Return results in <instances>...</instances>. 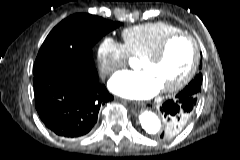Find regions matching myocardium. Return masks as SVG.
<instances>
[{"instance_id": "obj_1", "label": "myocardium", "mask_w": 240, "mask_h": 160, "mask_svg": "<svg viewBox=\"0 0 240 160\" xmlns=\"http://www.w3.org/2000/svg\"><path fill=\"white\" fill-rule=\"evenodd\" d=\"M178 38L186 39L190 43L193 52L192 62L187 73L177 83L168 87L161 88V91L163 93L178 92L181 89H183L193 79L200 62V52L196 40L194 39L193 36L186 32L183 31L175 32L163 38L151 53L141 58V61L157 62L161 60L169 44Z\"/></svg>"}]
</instances>
